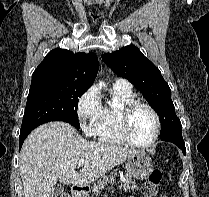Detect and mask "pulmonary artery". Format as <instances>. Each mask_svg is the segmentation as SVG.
<instances>
[{"instance_id":"pulmonary-artery-1","label":"pulmonary artery","mask_w":209,"mask_h":197,"mask_svg":"<svg viewBox=\"0 0 209 197\" xmlns=\"http://www.w3.org/2000/svg\"><path fill=\"white\" fill-rule=\"evenodd\" d=\"M114 86L117 87H131L130 83L122 78H117L114 82Z\"/></svg>"}]
</instances>
